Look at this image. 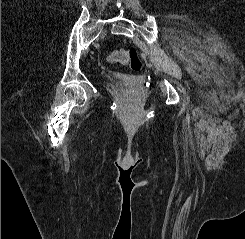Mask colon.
<instances>
[{
	"label": "colon",
	"instance_id": "1",
	"mask_svg": "<svg viewBox=\"0 0 245 239\" xmlns=\"http://www.w3.org/2000/svg\"><path fill=\"white\" fill-rule=\"evenodd\" d=\"M109 61L129 65L134 71H139L142 67L139 54L134 48L120 49L112 52L109 56Z\"/></svg>",
	"mask_w": 245,
	"mask_h": 239
}]
</instances>
